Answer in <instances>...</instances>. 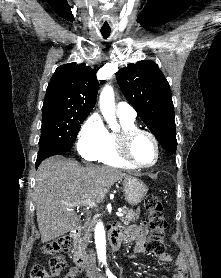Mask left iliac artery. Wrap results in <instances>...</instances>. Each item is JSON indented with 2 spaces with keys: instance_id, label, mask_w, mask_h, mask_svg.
Masks as SVG:
<instances>
[{
  "instance_id": "left-iliac-artery-1",
  "label": "left iliac artery",
  "mask_w": 221,
  "mask_h": 278,
  "mask_svg": "<svg viewBox=\"0 0 221 278\" xmlns=\"http://www.w3.org/2000/svg\"><path fill=\"white\" fill-rule=\"evenodd\" d=\"M108 278H117L116 276H114L109 269H107L106 271Z\"/></svg>"
}]
</instances>
